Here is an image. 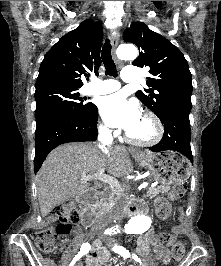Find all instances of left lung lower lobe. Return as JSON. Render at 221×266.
Returning <instances> with one entry per match:
<instances>
[{
	"instance_id": "1",
	"label": "left lung lower lobe",
	"mask_w": 221,
	"mask_h": 266,
	"mask_svg": "<svg viewBox=\"0 0 221 266\" xmlns=\"http://www.w3.org/2000/svg\"><path fill=\"white\" fill-rule=\"evenodd\" d=\"M186 111H172L163 121L164 135L161 141L149 147L153 152L173 151L186 156L193 163L190 146V121Z\"/></svg>"
}]
</instances>
